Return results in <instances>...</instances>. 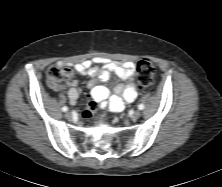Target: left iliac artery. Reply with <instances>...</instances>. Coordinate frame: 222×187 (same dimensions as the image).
I'll list each match as a JSON object with an SVG mask.
<instances>
[{
	"label": "left iliac artery",
	"mask_w": 222,
	"mask_h": 187,
	"mask_svg": "<svg viewBox=\"0 0 222 187\" xmlns=\"http://www.w3.org/2000/svg\"><path fill=\"white\" fill-rule=\"evenodd\" d=\"M138 108H139L140 110H143V109H144V104H139Z\"/></svg>",
	"instance_id": "obj_1"
}]
</instances>
